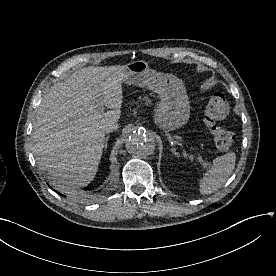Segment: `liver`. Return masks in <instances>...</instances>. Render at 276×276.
I'll return each instance as SVG.
<instances>
[{
    "mask_svg": "<svg viewBox=\"0 0 276 276\" xmlns=\"http://www.w3.org/2000/svg\"><path fill=\"white\" fill-rule=\"evenodd\" d=\"M125 66L87 67L54 84L33 125V151L40 170L58 191L76 195L95 177L105 144L103 126L118 121ZM102 102L108 109L98 108Z\"/></svg>",
    "mask_w": 276,
    "mask_h": 276,
    "instance_id": "1",
    "label": "liver"
}]
</instances>
